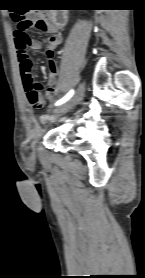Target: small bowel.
Masks as SVG:
<instances>
[{
  "mask_svg": "<svg viewBox=\"0 0 145 278\" xmlns=\"http://www.w3.org/2000/svg\"><path fill=\"white\" fill-rule=\"evenodd\" d=\"M31 18L34 16L31 15ZM47 30L50 32V35L47 38V55H48V69H49V74H48V82L50 86L46 89L45 96L43 98V102L49 98L52 97V95L55 93L56 89L54 87V84L56 82V74H57V63L53 58V53L54 50L62 43V36L61 34L57 31L56 27L52 26L51 24L48 25ZM26 34V33H25ZM15 43H17V39L15 38ZM30 45L32 49H41L42 45L30 39ZM19 75H20V81L24 87V92L27 96V90L25 88V79L26 77L31 75L32 67H31V61L27 54L24 57H19ZM28 65V68L24 69V66ZM41 129L40 125L36 124L33 128V133L39 132Z\"/></svg>",
  "mask_w": 145,
  "mask_h": 278,
  "instance_id": "obj_1",
  "label": "small bowel"
}]
</instances>
